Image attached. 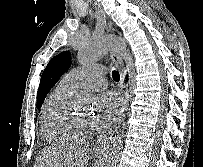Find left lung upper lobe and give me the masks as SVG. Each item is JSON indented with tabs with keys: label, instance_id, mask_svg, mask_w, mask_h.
<instances>
[{
	"label": "left lung upper lobe",
	"instance_id": "left-lung-upper-lobe-1",
	"mask_svg": "<svg viewBox=\"0 0 203 167\" xmlns=\"http://www.w3.org/2000/svg\"><path fill=\"white\" fill-rule=\"evenodd\" d=\"M71 65V55L64 51L53 57L44 69L37 93V109H40L46 95L50 89L57 83Z\"/></svg>",
	"mask_w": 203,
	"mask_h": 167
}]
</instances>
